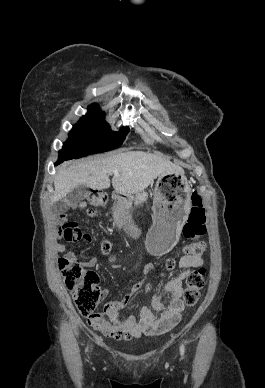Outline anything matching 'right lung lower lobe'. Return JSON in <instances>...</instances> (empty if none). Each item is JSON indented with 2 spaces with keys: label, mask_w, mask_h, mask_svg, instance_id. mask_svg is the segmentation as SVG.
<instances>
[{
  "label": "right lung lower lobe",
  "mask_w": 265,
  "mask_h": 388,
  "mask_svg": "<svg viewBox=\"0 0 265 388\" xmlns=\"http://www.w3.org/2000/svg\"><path fill=\"white\" fill-rule=\"evenodd\" d=\"M60 162H62V160H59V159H58L57 163H55V164H58V163H60Z\"/></svg>",
  "instance_id": "right-lung-lower-lobe-1"
}]
</instances>
